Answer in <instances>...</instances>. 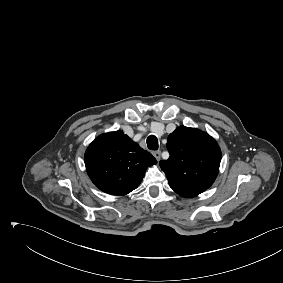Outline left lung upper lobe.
<instances>
[{
    "instance_id": "5c2ea615",
    "label": "left lung upper lobe",
    "mask_w": 283,
    "mask_h": 283,
    "mask_svg": "<svg viewBox=\"0 0 283 283\" xmlns=\"http://www.w3.org/2000/svg\"><path fill=\"white\" fill-rule=\"evenodd\" d=\"M170 157L160 161L169 185L178 195L192 198L215 181L221 161L217 142L207 133L180 126L168 136Z\"/></svg>"
}]
</instances>
